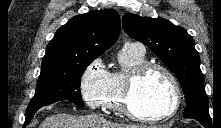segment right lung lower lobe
Returning <instances> with one entry per match:
<instances>
[{"label": "right lung lower lobe", "mask_w": 221, "mask_h": 128, "mask_svg": "<svg viewBox=\"0 0 221 128\" xmlns=\"http://www.w3.org/2000/svg\"><path fill=\"white\" fill-rule=\"evenodd\" d=\"M36 111L37 110L31 111V112L27 113V116H26V119H25V123H24V127L30 122L31 118L33 117V115H34V113Z\"/></svg>", "instance_id": "obj_1"}]
</instances>
